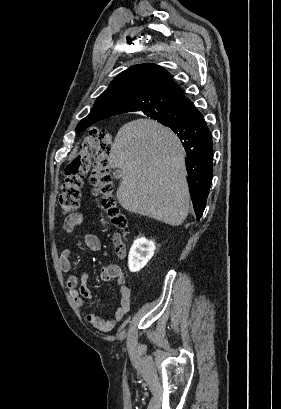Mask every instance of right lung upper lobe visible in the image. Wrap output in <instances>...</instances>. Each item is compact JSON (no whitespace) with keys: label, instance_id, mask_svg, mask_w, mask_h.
<instances>
[{"label":"right lung upper lobe","instance_id":"right-lung-upper-lobe-1","mask_svg":"<svg viewBox=\"0 0 281 409\" xmlns=\"http://www.w3.org/2000/svg\"><path fill=\"white\" fill-rule=\"evenodd\" d=\"M171 75L155 64H141L120 73L77 126L83 131L107 117L132 111H154L185 100Z\"/></svg>","mask_w":281,"mask_h":409}]
</instances>
